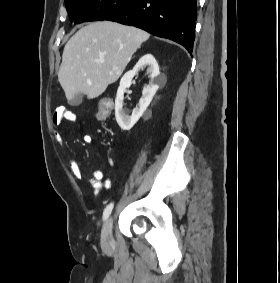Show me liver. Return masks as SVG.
<instances>
[{
  "instance_id": "1",
  "label": "liver",
  "mask_w": 280,
  "mask_h": 283,
  "mask_svg": "<svg viewBox=\"0 0 280 283\" xmlns=\"http://www.w3.org/2000/svg\"><path fill=\"white\" fill-rule=\"evenodd\" d=\"M149 37L144 30L109 21L79 29L64 47L58 73L66 98L70 101L78 93L88 99L100 96L117 81L132 55Z\"/></svg>"
}]
</instances>
